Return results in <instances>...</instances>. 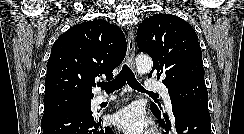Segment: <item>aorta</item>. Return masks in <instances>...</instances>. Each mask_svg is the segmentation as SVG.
<instances>
[{"label": "aorta", "instance_id": "762f6f07", "mask_svg": "<svg viewBox=\"0 0 244 134\" xmlns=\"http://www.w3.org/2000/svg\"><path fill=\"white\" fill-rule=\"evenodd\" d=\"M153 66L152 59L146 55H140L136 58V69L139 74L148 73Z\"/></svg>", "mask_w": 244, "mask_h": 134}]
</instances>
